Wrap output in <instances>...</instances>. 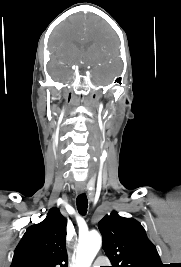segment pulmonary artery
I'll return each mask as SVG.
<instances>
[{
	"instance_id": "e3ab8cb5",
	"label": "pulmonary artery",
	"mask_w": 181,
	"mask_h": 267,
	"mask_svg": "<svg viewBox=\"0 0 181 267\" xmlns=\"http://www.w3.org/2000/svg\"><path fill=\"white\" fill-rule=\"evenodd\" d=\"M103 265L102 259H98L92 267H101Z\"/></svg>"
}]
</instances>
